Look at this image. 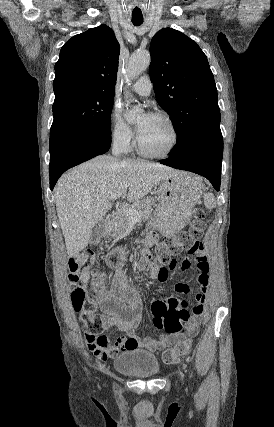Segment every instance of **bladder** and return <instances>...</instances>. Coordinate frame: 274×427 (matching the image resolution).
<instances>
[{"label": "bladder", "mask_w": 274, "mask_h": 427, "mask_svg": "<svg viewBox=\"0 0 274 427\" xmlns=\"http://www.w3.org/2000/svg\"><path fill=\"white\" fill-rule=\"evenodd\" d=\"M117 374L132 376L137 379H152L161 372L156 355L146 350L127 349L114 360Z\"/></svg>", "instance_id": "31cf9c89"}]
</instances>
